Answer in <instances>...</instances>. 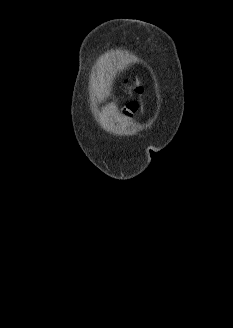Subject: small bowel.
Masks as SVG:
<instances>
[{
	"label": "small bowel",
	"instance_id": "small-bowel-1",
	"mask_svg": "<svg viewBox=\"0 0 233 328\" xmlns=\"http://www.w3.org/2000/svg\"><path fill=\"white\" fill-rule=\"evenodd\" d=\"M139 103L137 101L130 102L126 105L124 109V116L129 119L131 118L134 113L138 110Z\"/></svg>",
	"mask_w": 233,
	"mask_h": 328
}]
</instances>
